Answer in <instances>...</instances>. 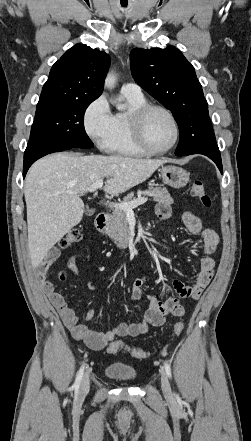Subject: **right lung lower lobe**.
Returning a JSON list of instances; mask_svg holds the SVG:
<instances>
[{
  "label": "right lung lower lobe",
  "mask_w": 251,
  "mask_h": 441,
  "mask_svg": "<svg viewBox=\"0 0 251 441\" xmlns=\"http://www.w3.org/2000/svg\"><path fill=\"white\" fill-rule=\"evenodd\" d=\"M69 149H73V148L62 147V146H57L54 144L43 143L38 141H29L24 153L23 178L25 177L29 167L37 159L53 152H60Z\"/></svg>",
  "instance_id": "98d812e1"
}]
</instances>
